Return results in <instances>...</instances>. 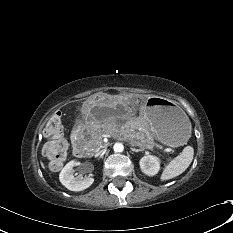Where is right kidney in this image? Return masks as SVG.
Returning a JSON list of instances; mask_svg holds the SVG:
<instances>
[{
    "label": "right kidney",
    "mask_w": 233,
    "mask_h": 233,
    "mask_svg": "<svg viewBox=\"0 0 233 233\" xmlns=\"http://www.w3.org/2000/svg\"><path fill=\"white\" fill-rule=\"evenodd\" d=\"M75 161L68 162L59 175V180L67 189L71 191H82L94 182V178L74 177Z\"/></svg>",
    "instance_id": "right-kidney-1"
}]
</instances>
